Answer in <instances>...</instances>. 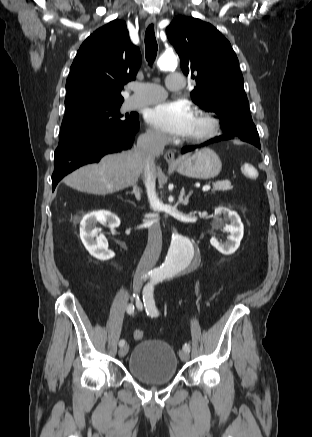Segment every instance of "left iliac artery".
Segmentation results:
<instances>
[{
  "mask_svg": "<svg viewBox=\"0 0 312 437\" xmlns=\"http://www.w3.org/2000/svg\"><path fill=\"white\" fill-rule=\"evenodd\" d=\"M159 278L154 277L143 289V302L146 308V312L150 316H158L159 312L155 305V300L153 297L154 285L159 282ZM183 350L190 351V345L185 343L183 345Z\"/></svg>",
  "mask_w": 312,
  "mask_h": 437,
  "instance_id": "left-iliac-artery-1",
  "label": "left iliac artery"
}]
</instances>
